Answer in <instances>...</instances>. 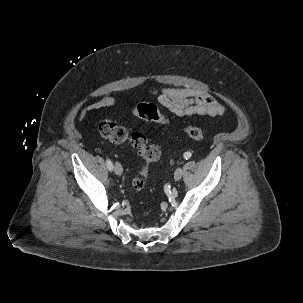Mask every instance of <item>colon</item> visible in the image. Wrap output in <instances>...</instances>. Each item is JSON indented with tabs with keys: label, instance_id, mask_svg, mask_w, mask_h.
Segmentation results:
<instances>
[{
	"label": "colon",
	"instance_id": "colon-1",
	"mask_svg": "<svg viewBox=\"0 0 303 303\" xmlns=\"http://www.w3.org/2000/svg\"><path fill=\"white\" fill-rule=\"evenodd\" d=\"M133 114L145 121L158 124H168L169 120L161 113L153 103L142 102L133 109ZM186 134L195 141L204 139L203 129L193 124L184 127ZM99 132L105 139L114 143L129 142L136 148L145 161L140 175L133 181V187L137 192L144 190L148 177V167L157 162L161 157V149L158 145L150 144L148 138L140 131H129L127 128L117 124L113 119L106 118L99 124Z\"/></svg>",
	"mask_w": 303,
	"mask_h": 303
}]
</instances>
